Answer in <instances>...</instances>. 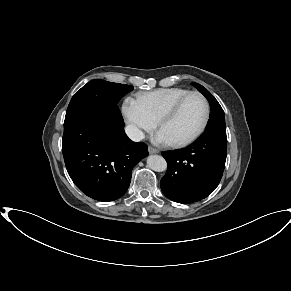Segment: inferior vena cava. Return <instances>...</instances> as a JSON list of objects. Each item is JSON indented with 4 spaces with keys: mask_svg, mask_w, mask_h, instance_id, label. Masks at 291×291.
Segmentation results:
<instances>
[{
    "mask_svg": "<svg viewBox=\"0 0 291 291\" xmlns=\"http://www.w3.org/2000/svg\"><path fill=\"white\" fill-rule=\"evenodd\" d=\"M127 136L134 142H139L144 139V133L136 126L128 125L125 127Z\"/></svg>",
    "mask_w": 291,
    "mask_h": 291,
    "instance_id": "1",
    "label": "inferior vena cava"
}]
</instances>
